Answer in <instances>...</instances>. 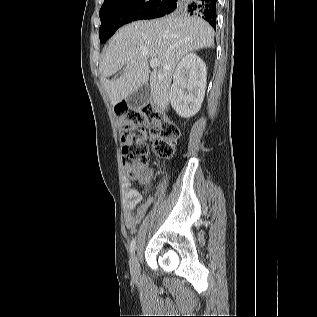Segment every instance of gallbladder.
I'll return each instance as SVG.
<instances>
[{"label": "gallbladder", "instance_id": "gallbladder-1", "mask_svg": "<svg viewBox=\"0 0 317 317\" xmlns=\"http://www.w3.org/2000/svg\"><path fill=\"white\" fill-rule=\"evenodd\" d=\"M151 100V90L149 84L141 86L138 90L134 91L126 99L127 104L132 109H138L149 103Z\"/></svg>", "mask_w": 317, "mask_h": 317}]
</instances>
